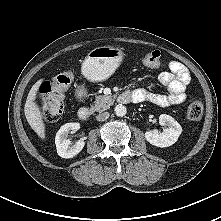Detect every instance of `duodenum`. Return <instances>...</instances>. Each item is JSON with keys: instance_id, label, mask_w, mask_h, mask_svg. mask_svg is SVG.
<instances>
[{"instance_id": "410a0bca", "label": "duodenum", "mask_w": 221, "mask_h": 221, "mask_svg": "<svg viewBox=\"0 0 221 221\" xmlns=\"http://www.w3.org/2000/svg\"><path fill=\"white\" fill-rule=\"evenodd\" d=\"M118 102L121 104H127L128 102H130L132 100L130 94H128L127 92L121 93L118 98H117ZM91 116V109L88 107H81L78 110V117L80 120L82 121H88L90 119Z\"/></svg>"}]
</instances>
